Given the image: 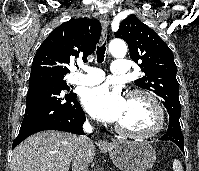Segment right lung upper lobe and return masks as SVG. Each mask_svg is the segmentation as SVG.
I'll return each instance as SVG.
<instances>
[{"label": "right lung upper lobe", "instance_id": "obj_1", "mask_svg": "<svg viewBox=\"0 0 199 171\" xmlns=\"http://www.w3.org/2000/svg\"><path fill=\"white\" fill-rule=\"evenodd\" d=\"M101 24L86 18L71 19L54 29L37 50L30 76L53 75L64 77L73 57L87 56L96 49Z\"/></svg>", "mask_w": 199, "mask_h": 171}]
</instances>
